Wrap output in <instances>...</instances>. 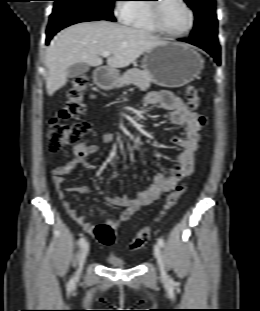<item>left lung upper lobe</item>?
Returning a JSON list of instances; mask_svg holds the SVG:
<instances>
[{"label":"left lung upper lobe","mask_w":260,"mask_h":311,"mask_svg":"<svg viewBox=\"0 0 260 311\" xmlns=\"http://www.w3.org/2000/svg\"><path fill=\"white\" fill-rule=\"evenodd\" d=\"M194 11L196 20L190 39L218 44L215 0H184Z\"/></svg>","instance_id":"1"}]
</instances>
